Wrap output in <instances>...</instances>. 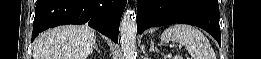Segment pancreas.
I'll return each instance as SVG.
<instances>
[{
	"label": "pancreas",
	"mask_w": 261,
	"mask_h": 59,
	"mask_svg": "<svg viewBox=\"0 0 261 59\" xmlns=\"http://www.w3.org/2000/svg\"><path fill=\"white\" fill-rule=\"evenodd\" d=\"M174 59H181L179 56H175Z\"/></svg>",
	"instance_id": "cf45deb5"
}]
</instances>
